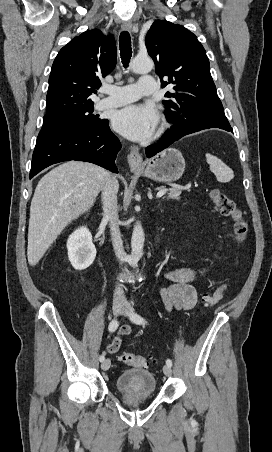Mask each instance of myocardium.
I'll list each match as a JSON object with an SVG mask.
<instances>
[{"label": "myocardium", "instance_id": "myocardium-1", "mask_svg": "<svg viewBox=\"0 0 272 452\" xmlns=\"http://www.w3.org/2000/svg\"><path fill=\"white\" fill-rule=\"evenodd\" d=\"M163 128H164V124H162V125H161V127H160L159 131H162V130H163Z\"/></svg>", "mask_w": 272, "mask_h": 452}]
</instances>
